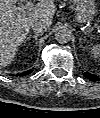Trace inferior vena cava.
Wrapping results in <instances>:
<instances>
[{
  "label": "inferior vena cava",
  "instance_id": "obj_1",
  "mask_svg": "<svg viewBox=\"0 0 100 118\" xmlns=\"http://www.w3.org/2000/svg\"><path fill=\"white\" fill-rule=\"evenodd\" d=\"M31 28L37 33H42L47 31L49 24L45 20H35L31 23Z\"/></svg>",
  "mask_w": 100,
  "mask_h": 118
}]
</instances>
